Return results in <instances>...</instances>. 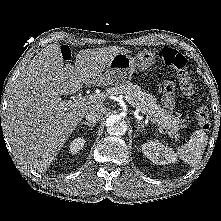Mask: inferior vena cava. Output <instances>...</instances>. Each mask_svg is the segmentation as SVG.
<instances>
[{"mask_svg":"<svg viewBox=\"0 0 221 221\" xmlns=\"http://www.w3.org/2000/svg\"><path fill=\"white\" fill-rule=\"evenodd\" d=\"M105 111L104 106H93L86 112L85 119L90 123H96L103 117Z\"/></svg>","mask_w":221,"mask_h":221,"instance_id":"obj_1","label":"inferior vena cava"}]
</instances>
